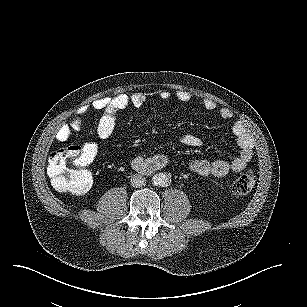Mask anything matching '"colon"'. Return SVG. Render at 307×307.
<instances>
[{"label":"colon","instance_id":"obj_1","mask_svg":"<svg viewBox=\"0 0 307 307\" xmlns=\"http://www.w3.org/2000/svg\"><path fill=\"white\" fill-rule=\"evenodd\" d=\"M47 171L53 187L60 192L83 194L92 184V174L79 146L61 148L52 153ZM255 179L253 171L237 176L231 185L232 192L238 196L248 194L254 187Z\"/></svg>","mask_w":307,"mask_h":307}]
</instances>
